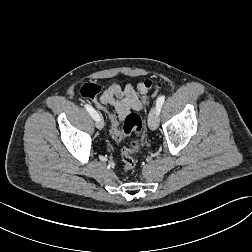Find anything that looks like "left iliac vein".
<instances>
[{"label": "left iliac vein", "mask_w": 252, "mask_h": 252, "mask_svg": "<svg viewBox=\"0 0 252 252\" xmlns=\"http://www.w3.org/2000/svg\"><path fill=\"white\" fill-rule=\"evenodd\" d=\"M158 110L157 107L151 109L148 117V125L151 130H156L158 128Z\"/></svg>", "instance_id": "left-iliac-vein-1"}]
</instances>
